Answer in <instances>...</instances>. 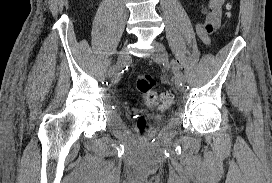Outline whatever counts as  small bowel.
Listing matches in <instances>:
<instances>
[{"label": "small bowel", "mask_w": 272, "mask_h": 183, "mask_svg": "<svg viewBox=\"0 0 272 183\" xmlns=\"http://www.w3.org/2000/svg\"><path fill=\"white\" fill-rule=\"evenodd\" d=\"M224 2L225 0H209L207 6L202 9L205 22L195 24L198 36L206 45L210 44V34L219 26Z\"/></svg>", "instance_id": "1"}]
</instances>
